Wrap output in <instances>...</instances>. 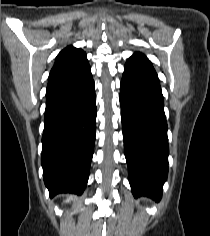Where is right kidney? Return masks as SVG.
Returning a JSON list of instances; mask_svg holds the SVG:
<instances>
[{"label":"right kidney","mask_w":210,"mask_h":236,"mask_svg":"<svg viewBox=\"0 0 210 236\" xmlns=\"http://www.w3.org/2000/svg\"><path fill=\"white\" fill-rule=\"evenodd\" d=\"M73 199V197H70V198H68L67 200H66V202H69V201H71Z\"/></svg>","instance_id":"ca27d5eb"}]
</instances>
